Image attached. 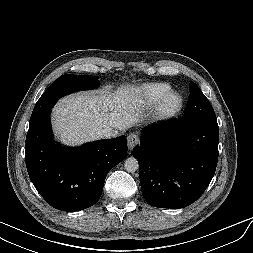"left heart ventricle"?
<instances>
[{
	"instance_id": "left-heart-ventricle-1",
	"label": "left heart ventricle",
	"mask_w": 253,
	"mask_h": 253,
	"mask_svg": "<svg viewBox=\"0 0 253 253\" xmlns=\"http://www.w3.org/2000/svg\"><path fill=\"white\" fill-rule=\"evenodd\" d=\"M177 103V98H173L171 101H170V104L171 105H175Z\"/></svg>"
}]
</instances>
